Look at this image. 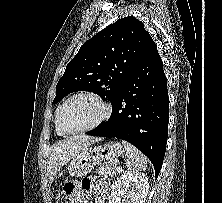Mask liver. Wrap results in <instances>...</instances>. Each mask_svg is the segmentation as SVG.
Masks as SVG:
<instances>
[{"label":"liver","mask_w":222,"mask_h":203,"mask_svg":"<svg viewBox=\"0 0 222 203\" xmlns=\"http://www.w3.org/2000/svg\"><path fill=\"white\" fill-rule=\"evenodd\" d=\"M99 138L79 135L55 143L49 152L48 173L52 182L60 169L80 150L99 141Z\"/></svg>","instance_id":"1"}]
</instances>
